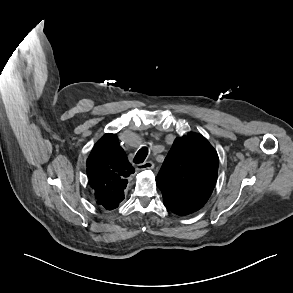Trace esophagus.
I'll use <instances>...</instances> for the list:
<instances>
[{"label": "esophagus", "instance_id": "esophagus-1", "mask_svg": "<svg viewBox=\"0 0 293 293\" xmlns=\"http://www.w3.org/2000/svg\"><path fill=\"white\" fill-rule=\"evenodd\" d=\"M154 167V164L152 161H146L144 163H141L137 166L138 170H145V169H152Z\"/></svg>", "mask_w": 293, "mask_h": 293}]
</instances>
